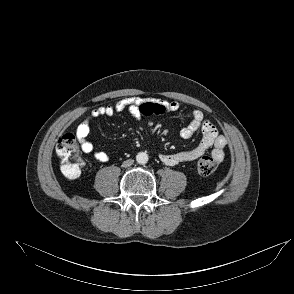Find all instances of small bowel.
<instances>
[{
	"label": "small bowel",
	"instance_id": "small-bowel-1",
	"mask_svg": "<svg viewBox=\"0 0 294 294\" xmlns=\"http://www.w3.org/2000/svg\"><path fill=\"white\" fill-rule=\"evenodd\" d=\"M145 102H152L164 109V112H175L179 109L176 101H165L159 99H143L140 97H129L118 101L113 105L100 106L90 111L84 120L77 126L76 136L80 142L81 149L86 154H91L99 162H107L109 156L94 148L93 144L87 140L90 133L91 122L102 116H113L116 113L130 109L136 113L138 107ZM202 133V139L197 147L188 151L175 152L170 154L162 153L159 159L168 166H175L181 163L194 162L201 158L210 150L211 156L217 161H222L225 157L226 138L218 133L217 128L209 120L204 118L201 110L195 109L187 126L180 131L183 139H189L196 133Z\"/></svg>",
	"mask_w": 294,
	"mask_h": 294
}]
</instances>
